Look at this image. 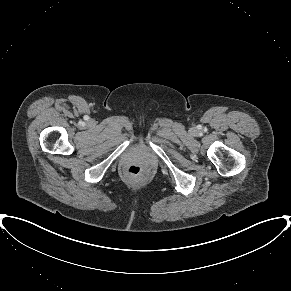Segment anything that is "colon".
Instances as JSON below:
<instances>
[{
    "mask_svg": "<svg viewBox=\"0 0 291 291\" xmlns=\"http://www.w3.org/2000/svg\"><path fill=\"white\" fill-rule=\"evenodd\" d=\"M126 173L131 176H139L142 173V168L137 165H131L126 168Z\"/></svg>",
    "mask_w": 291,
    "mask_h": 291,
    "instance_id": "obj_1",
    "label": "colon"
}]
</instances>
